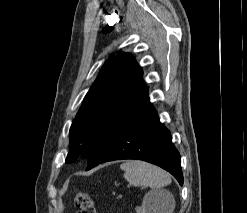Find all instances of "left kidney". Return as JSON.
Returning <instances> with one entry per match:
<instances>
[{"mask_svg": "<svg viewBox=\"0 0 247 213\" xmlns=\"http://www.w3.org/2000/svg\"><path fill=\"white\" fill-rule=\"evenodd\" d=\"M136 213H158L152 194H146L142 205L136 208Z\"/></svg>", "mask_w": 247, "mask_h": 213, "instance_id": "5707ae66", "label": "left kidney"}]
</instances>
